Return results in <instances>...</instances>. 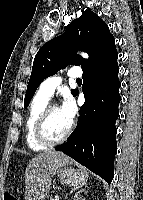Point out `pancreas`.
<instances>
[{
    "mask_svg": "<svg viewBox=\"0 0 143 200\" xmlns=\"http://www.w3.org/2000/svg\"><path fill=\"white\" fill-rule=\"evenodd\" d=\"M51 200H59L58 198H56V197H54V198H52Z\"/></svg>",
    "mask_w": 143,
    "mask_h": 200,
    "instance_id": "1",
    "label": "pancreas"
}]
</instances>
